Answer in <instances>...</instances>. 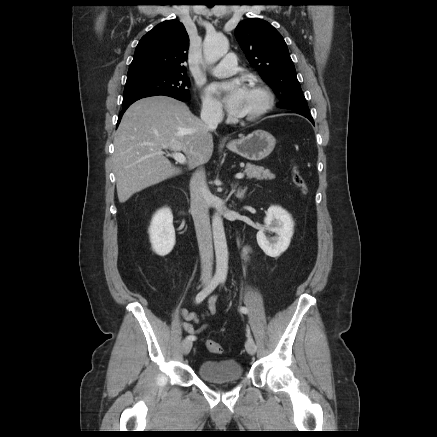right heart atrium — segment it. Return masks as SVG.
I'll return each mask as SVG.
<instances>
[{"mask_svg":"<svg viewBox=\"0 0 437 437\" xmlns=\"http://www.w3.org/2000/svg\"><path fill=\"white\" fill-rule=\"evenodd\" d=\"M201 112L206 118L217 119L222 115L220 103L209 94L201 95Z\"/></svg>","mask_w":437,"mask_h":437,"instance_id":"d8ad5b80","label":"right heart atrium"}]
</instances>
